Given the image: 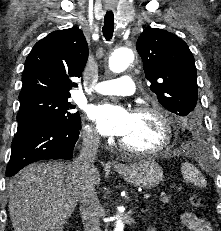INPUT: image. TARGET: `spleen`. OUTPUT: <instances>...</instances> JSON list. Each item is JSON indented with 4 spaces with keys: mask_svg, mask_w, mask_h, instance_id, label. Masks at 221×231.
<instances>
[{
    "mask_svg": "<svg viewBox=\"0 0 221 231\" xmlns=\"http://www.w3.org/2000/svg\"><path fill=\"white\" fill-rule=\"evenodd\" d=\"M181 172H182L183 178L186 181L191 182L200 187L206 186V180L204 179L203 176H201L198 169L192 164L188 162L183 163L181 167Z\"/></svg>",
    "mask_w": 221,
    "mask_h": 231,
    "instance_id": "spleen-1",
    "label": "spleen"
}]
</instances>
